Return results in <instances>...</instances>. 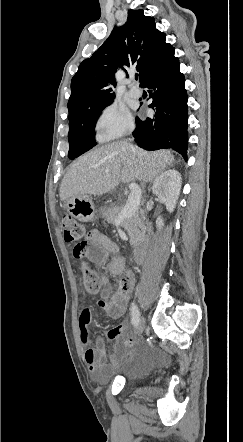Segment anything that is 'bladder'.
Wrapping results in <instances>:
<instances>
[{
    "instance_id": "obj_1",
    "label": "bladder",
    "mask_w": 243,
    "mask_h": 442,
    "mask_svg": "<svg viewBox=\"0 0 243 442\" xmlns=\"http://www.w3.org/2000/svg\"><path fill=\"white\" fill-rule=\"evenodd\" d=\"M151 364L142 355H135L121 369V376L128 382L137 381L151 372Z\"/></svg>"
}]
</instances>
